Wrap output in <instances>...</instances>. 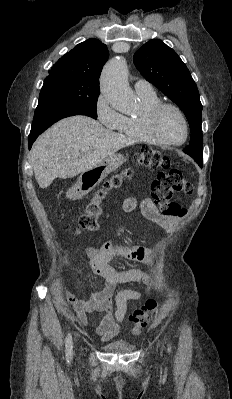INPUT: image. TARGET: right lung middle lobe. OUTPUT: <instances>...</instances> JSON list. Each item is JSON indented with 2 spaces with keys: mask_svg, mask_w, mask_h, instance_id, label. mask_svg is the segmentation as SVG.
<instances>
[{
  "mask_svg": "<svg viewBox=\"0 0 232 399\" xmlns=\"http://www.w3.org/2000/svg\"><path fill=\"white\" fill-rule=\"evenodd\" d=\"M99 93L100 90L83 88L59 80H44L39 99L69 103L97 118Z\"/></svg>",
  "mask_w": 232,
  "mask_h": 399,
  "instance_id": "right-lung-middle-lobe-1",
  "label": "right lung middle lobe"
}]
</instances>
